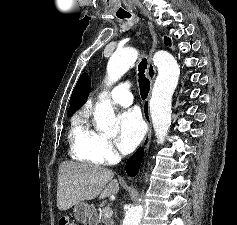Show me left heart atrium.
<instances>
[{
  "label": "left heart atrium",
  "mask_w": 237,
  "mask_h": 225,
  "mask_svg": "<svg viewBox=\"0 0 237 225\" xmlns=\"http://www.w3.org/2000/svg\"><path fill=\"white\" fill-rule=\"evenodd\" d=\"M143 135L144 124L137 111L129 110L119 116V132L116 143L122 153L132 152L140 143Z\"/></svg>",
  "instance_id": "39dd6f15"
}]
</instances>
